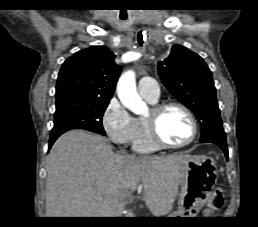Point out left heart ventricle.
<instances>
[{
  "mask_svg": "<svg viewBox=\"0 0 258 227\" xmlns=\"http://www.w3.org/2000/svg\"><path fill=\"white\" fill-rule=\"evenodd\" d=\"M159 130L161 136L170 143L184 142L192 134L189 118L178 108H169L163 112L159 119Z\"/></svg>",
  "mask_w": 258,
  "mask_h": 227,
  "instance_id": "obj_1",
  "label": "left heart ventricle"
}]
</instances>
